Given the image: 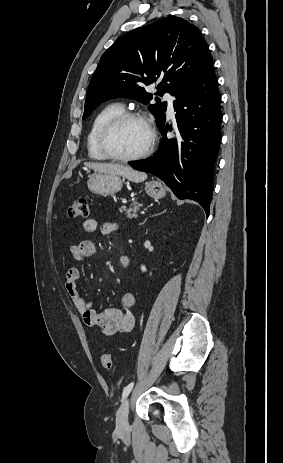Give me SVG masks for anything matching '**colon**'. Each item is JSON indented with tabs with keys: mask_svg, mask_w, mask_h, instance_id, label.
<instances>
[{
	"mask_svg": "<svg viewBox=\"0 0 283 463\" xmlns=\"http://www.w3.org/2000/svg\"><path fill=\"white\" fill-rule=\"evenodd\" d=\"M89 204L84 198L75 200L66 211L67 217L70 219H84L89 215ZM101 363L106 370H111L113 367V356L110 353H104L101 357Z\"/></svg>",
	"mask_w": 283,
	"mask_h": 463,
	"instance_id": "obj_1",
	"label": "colon"
}]
</instances>
